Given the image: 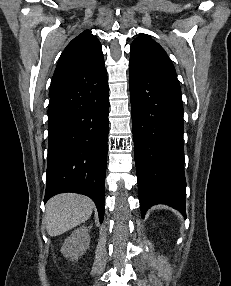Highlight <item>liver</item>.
<instances>
[{"mask_svg":"<svg viewBox=\"0 0 231 286\" xmlns=\"http://www.w3.org/2000/svg\"><path fill=\"white\" fill-rule=\"evenodd\" d=\"M93 201L83 195L63 193L52 197L46 204L45 225L48 235H61L92 215Z\"/></svg>","mask_w":231,"mask_h":286,"instance_id":"6515ba94","label":"liver"}]
</instances>
